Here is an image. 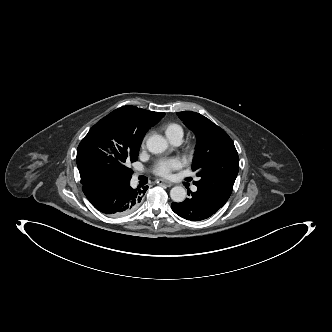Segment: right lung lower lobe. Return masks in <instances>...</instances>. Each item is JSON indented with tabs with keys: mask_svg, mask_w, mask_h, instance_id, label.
Wrapping results in <instances>:
<instances>
[{
	"mask_svg": "<svg viewBox=\"0 0 332 332\" xmlns=\"http://www.w3.org/2000/svg\"><path fill=\"white\" fill-rule=\"evenodd\" d=\"M131 178L95 177L83 183L87 199L100 212L110 216H123L134 211L140 204L148 186L133 189Z\"/></svg>",
	"mask_w": 332,
	"mask_h": 332,
	"instance_id": "98d812e1",
	"label": "right lung lower lobe"
}]
</instances>
